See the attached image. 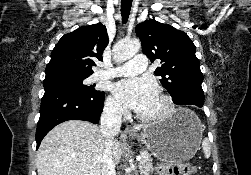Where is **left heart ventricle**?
Returning <instances> with one entry per match:
<instances>
[{
	"instance_id": "b2bd125f",
	"label": "left heart ventricle",
	"mask_w": 251,
	"mask_h": 175,
	"mask_svg": "<svg viewBox=\"0 0 251 175\" xmlns=\"http://www.w3.org/2000/svg\"><path fill=\"white\" fill-rule=\"evenodd\" d=\"M161 109V102H160V99L158 98L156 104L154 105V107L151 109L150 112H148V114H154L158 111H160Z\"/></svg>"
}]
</instances>
